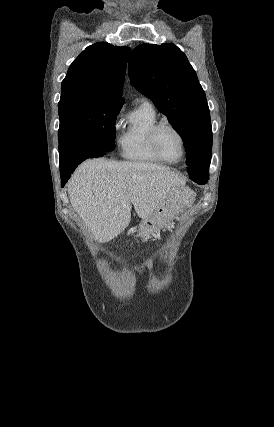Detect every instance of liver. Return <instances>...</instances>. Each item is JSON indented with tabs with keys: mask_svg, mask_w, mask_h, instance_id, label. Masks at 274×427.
<instances>
[{
	"mask_svg": "<svg viewBox=\"0 0 274 427\" xmlns=\"http://www.w3.org/2000/svg\"><path fill=\"white\" fill-rule=\"evenodd\" d=\"M185 182L166 166L94 158L75 170L67 192L75 212L92 231L94 239L102 243L129 225L131 204L141 219L150 217L168 200L179 208L191 206L193 192L189 190L185 196Z\"/></svg>",
	"mask_w": 274,
	"mask_h": 427,
	"instance_id": "liver-1",
	"label": "liver"
}]
</instances>
